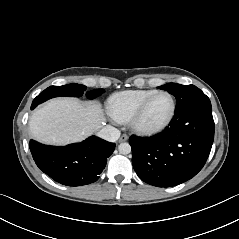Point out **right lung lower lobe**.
Masks as SVG:
<instances>
[{"label": "right lung lower lobe", "instance_id": "obj_1", "mask_svg": "<svg viewBox=\"0 0 239 239\" xmlns=\"http://www.w3.org/2000/svg\"><path fill=\"white\" fill-rule=\"evenodd\" d=\"M36 165L56 182L82 186L99 179L115 144L96 136L67 146H48L30 140Z\"/></svg>", "mask_w": 239, "mask_h": 239}]
</instances>
